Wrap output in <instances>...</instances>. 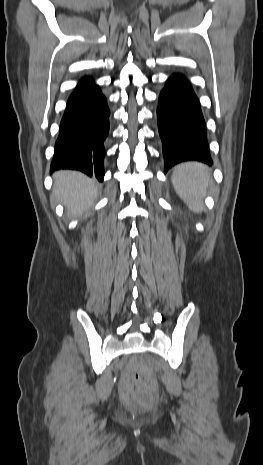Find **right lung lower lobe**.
Instances as JSON below:
<instances>
[{
	"mask_svg": "<svg viewBox=\"0 0 263 465\" xmlns=\"http://www.w3.org/2000/svg\"><path fill=\"white\" fill-rule=\"evenodd\" d=\"M107 99L92 78L82 79L68 99L55 144L51 172L79 170L103 180L104 141L109 131Z\"/></svg>",
	"mask_w": 263,
	"mask_h": 465,
	"instance_id": "98d812e1",
	"label": "right lung lower lobe"
}]
</instances>
